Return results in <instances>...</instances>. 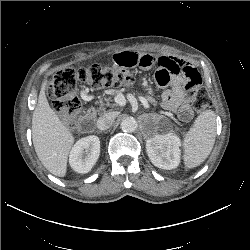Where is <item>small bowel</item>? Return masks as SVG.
<instances>
[{
	"label": "small bowel",
	"mask_w": 250,
	"mask_h": 250,
	"mask_svg": "<svg viewBox=\"0 0 250 250\" xmlns=\"http://www.w3.org/2000/svg\"><path fill=\"white\" fill-rule=\"evenodd\" d=\"M114 63L121 68H155V81L164 88L163 107L176 112L183 122L192 118L190 101L193 92L202 83L201 75L192 63L173 56L138 52L117 53L114 55Z\"/></svg>",
	"instance_id": "small-bowel-1"
}]
</instances>
